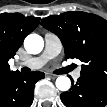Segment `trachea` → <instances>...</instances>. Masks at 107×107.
<instances>
[{
    "label": "trachea",
    "instance_id": "obj_1",
    "mask_svg": "<svg viewBox=\"0 0 107 107\" xmlns=\"http://www.w3.org/2000/svg\"><path fill=\"white\" fill-rule=\"evenodd\" d=\"M71 70V67H66L62 69V73H67Z\"/></svg>",
    "mask_w": 107,
    "mask_h": 107
}]
</instances>
